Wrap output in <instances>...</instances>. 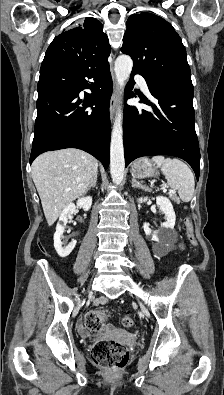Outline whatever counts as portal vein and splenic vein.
Returning <instances> with one entry per match:
<instances>
[{
    "label": "portal vein and splenic vein",
    "instance_id": "portal-vein-and-splenic-vein-1",
    "mask_svg": "<svg viewBox=\"0 0 224 395\" xmlns=\"http://www.w3.org/2000/svg\"><path fill=\"white\" fill-rule=\"evenodd\" d=\"M163 190L166 191V188L164 187ZM171 191L174 192L173 190H171Z\"/></svg>",
    "mask_w": 224,
    "mask_h": 395
}]
</instances>
